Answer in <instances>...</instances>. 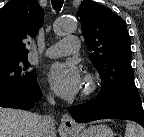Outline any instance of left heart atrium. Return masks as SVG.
<instances>
[{
    "label": "left heart atrium",
    "instance_id": "39dd6f15",
    "mask_svg": "<svg viewBox=\"0 0 144 137\" xmlns=\"http://www.w3.org/2000/svg\"><path fill=\"white\" fill-rule=\"evenodd\" d=\"M48 77L55 93L64 99L74 98L82 87L81 73L71 61L52 65Z\"/></svg>",
    "mask_w": 144,
    "mask_h": 137
}]
</instances>
